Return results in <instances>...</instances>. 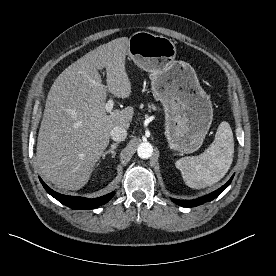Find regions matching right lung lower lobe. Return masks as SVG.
<instances>
[{"mask_svg": "<svg viewBox=\"0 0 276 276\" xmlns=\"http://www.w3.org/2000/svg\"><path fill=\"white\" fill-rule=\"evenodd\" d=\"M40 181L45 188V190L53 196L56 200H58L60 203L72 208V209H94L98 206H101L105 203H107L115 194V192H112L110 194L94 198V199H87L84 197H77V196H67L63 194H59L52 189H50L40 178Z\"/></svg>", "mask_w": 276, "mask_h": 276, "instance_id": "1", "label": "right lung lower lobe"}]
</instances>
